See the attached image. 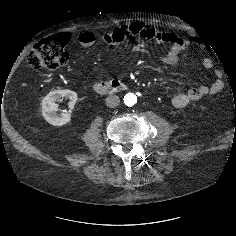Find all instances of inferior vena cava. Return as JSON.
<instances>
[{
    "label": "inferior vena cava",
    "instance_id": "obj_1",
    "mask_svg": "<svg viewBox=\"0 0 236 236\" xmlns=\"http://www.w3.org/2000/svg\"><path fill=\"white\" fill-rule=\"evenodd\" d=\"M105 102H106V106H108V107H110V108H114V107H116V106L119 105L120 99H119V97L116 96V95H109V96L106 98Z\"/></svg>",
    "mask_w": 236,
    "mask_h": 236
}]
</instances>
